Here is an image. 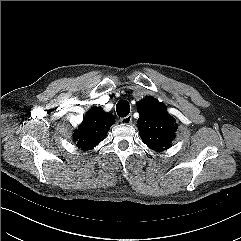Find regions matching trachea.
I'll use <instances>...</instances> for the list:
<instances>
[{
    "label": "trachea",
    "mask_w": 241,
    "mask_h": 241,
    "mask_svg": "<svg viewBox=\"0 0 241 241\" xmlns=\"http://www.w3.org/2000/svg\"><path fill=\"white\" fill-rule=\"evenodd\" d=\"M116 112L120 117H126L130 113V105L126 100H120L116 105Z\"/></svg>",
    "instance_id": "obj_1"
}]
</instances>
